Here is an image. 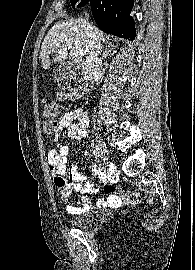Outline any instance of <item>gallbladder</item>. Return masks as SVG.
Wrapping results in <instances>:
<instances>
[{"label":"gallbladder","instance_id":"bac80fb5","mask_svg":"<svg viewBox=\"0 0 195 270\" xmlns=\"http://www.w3.org/2000/svg\"><path fill=\"white\" fill-rule=\"evenodd\" d=\"M71 74H72L71 63H64L56 69L54 73V78L58 82L66 77H69Z\"/></svg>","mask_w":195,"mask_h":270}]
</instances>
